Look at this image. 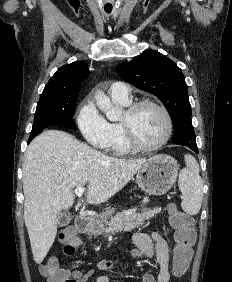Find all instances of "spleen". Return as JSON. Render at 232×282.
<instances>
[{"mask_svg": "<svg viewBox=\"0 0 232 282\" xmlns=\"http://www.w3.org/2000/svg\"><path fill=\"white\" fill-rule=\"evenodd\" d=\"M184 160L186 168L181 170L178 180L179 189L182 192L181 207L187 214L196 215L200 211L203 199L200 169L193 156L186 154Z\"/></svg>", "mask_w": 232, "mask_h": 282, "instance_id": "spleen-1", "label": "spleen"}]
</instances>
